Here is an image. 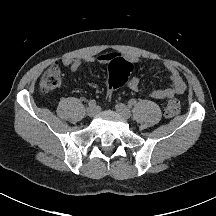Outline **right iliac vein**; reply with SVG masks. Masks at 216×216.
Returning a JSON list of instances; mask_svg holds the SVG:
<instances>
[{
  "instance_id": "1",
  "label": "right iliac vein",
  "mask_w": 216,
  "mask_h": 216,
  "mask_svg": "<svg viewBox=\"0 0 216 216\" xmlns=\"http://www.w3.org/2000/svg\"><path fill=\"white\" fill-rule=\"evenodd\" d=\"M86 112L89 117H94L98 113V108L96 106H89Z\"/></svg>"
}]
</instances>
